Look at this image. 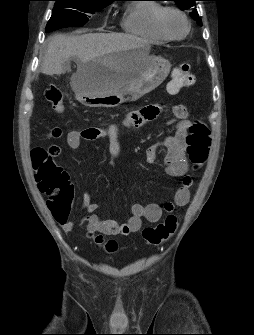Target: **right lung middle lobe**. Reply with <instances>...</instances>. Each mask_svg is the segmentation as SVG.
<instances>
[{
	"mask_svg": "<svg viewBox=\"0 0 254 335\" xmlns=\"http://www.w3.org/2000/svg\"><path fill=\"white\" fill-rule=\"evenodd\" d=\"M54 1L56 2L46 26V33L64 27H82L88 22V14H94L111 3L98 0Z\"/></svg>",
	"mask_w": 254,
	"mask_h": 335,
	"instance_id": "right-lung-middle-lobe-1",
	"label": "right lung middle lobe"
}]
</instances>
